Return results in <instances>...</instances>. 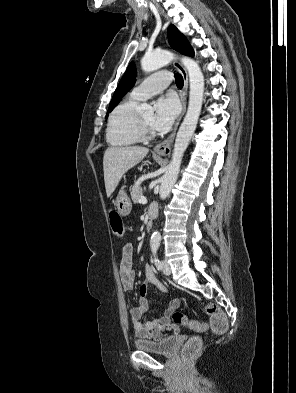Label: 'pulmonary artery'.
<instances>
[{
	"instance_id": "1",
	"label": "pulmonary artery",
	"mask_w": 296,
	"mask_h": 393,
	"mask_svg": "<svg viewBox=\"0 0 296 393\" xmlns=\"http://www.w3.org/2000/svg\"><path fill=\"white\" fill-rule=\"evenodd\" d=\"M171 81L172 76L168 72L162 71L154 73L134 87L130 93V97L138 102L146 100L152 95L167 88Z\"/></svg>"
}]
</instances>
